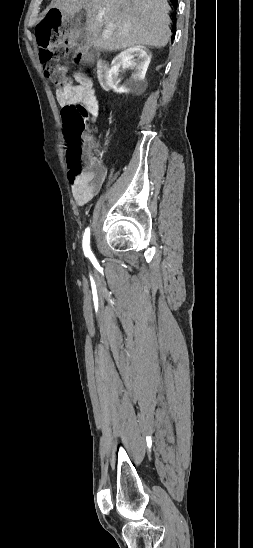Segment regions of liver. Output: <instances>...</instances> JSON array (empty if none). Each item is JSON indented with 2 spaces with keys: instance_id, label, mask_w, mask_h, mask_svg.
Segmentation results:
<instances>
[{
  "instance_id": "6515ba94",
  "label": "liver",
  "mask_w": 253,
  "mask_h": 548,
  "mask_svg": "<svg viewBox=\"0 0 253 548\" xmlns=\"http://www.w3.org/2000/svg\"><path fill=\"white\" fill-rule=\"evenodd\" d=\"M74 16L87 11L86 40L103 51L134 46L161 48L170 40L166 0H52L49 9Z\"/></svg>"
}]
</instances>
